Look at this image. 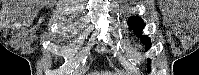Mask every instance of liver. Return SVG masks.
<instances>
[{
    "label": "liver",
    "mask_w": 199,
    "mask_h": 75,
    "mask_svg": "<svg viewBox=\"0 0 199 75\" xmlns=\"http://www.w3.org/2000/svg\"><path fill=\"white\" fill-rule=\"evenodd\" d=\"M105 75H112V74H105ZM115 75H117V74H115Z\"/></svg>",
    "instance_id": "6515ba94"
}]
</instances>
